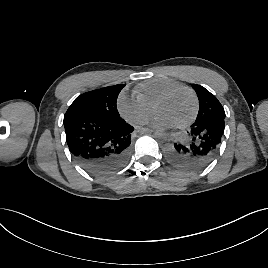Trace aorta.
I'll return each mask as SVG.
<instances>
[{"mask_svg": "<svg viewBox=\"0 0 268 268\" xmlns=\"http://www.w3.org/2000/svg\"><path fill=\"white\" fill-rule=\"evenodd\" d=\"M154 138L157 142L162 143L166 140L167 135L164 131L159 130L155 133Z\"/></svg>", "mask_w": 268, "mask_h": 268, "instance_id": "762f6f07", "label": "aorta"}]
</instances>
